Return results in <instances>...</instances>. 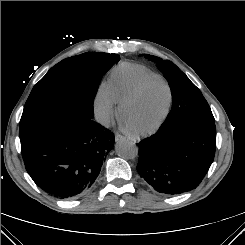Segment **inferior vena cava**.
<instances>
[{"label":"inferior vena cava","mask_w":245,"mask_h":245,"mask_svg":"<svg viewBox=\"0 0 245 245\" xmlns=\"http://www.w3.org/2000/svg\"><path fill=\"white\" fill-rule=\"evenodd\" d=\"M95 118H96V121L103 126L110 125V117L107 114H97Z\"/></svg>","instance_id":"inferior-vena-cava-1"}]
</instances>
